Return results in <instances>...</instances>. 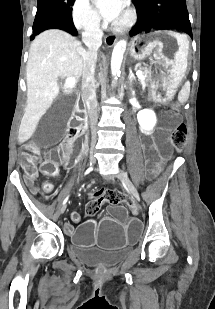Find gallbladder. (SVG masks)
I'll list each match as a JSON object with an SVG mask.
<instances>
[{
    "instance_id": "1",
    "label": "gallbladder",
    "mask_w": 215,
    "mask_h": 309,
    "mask_svg": "<svg viewBox=\"0 0 215 309\" xmlns=\"http://www.w3.org/2000/svg\"><path fill=\"white\" fill-rule=\"evenodd\" d=\"M75 104L76 94L73 92H63V96L55 100L48 113L42 116L40 125L33 130L38 148H54L55 144H58L66 127V120L70 118Z\"/></svg>"
}]
</instances>
